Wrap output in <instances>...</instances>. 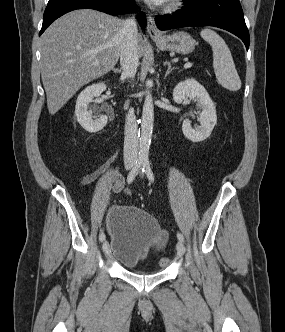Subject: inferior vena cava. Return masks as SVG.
Returning <instances> with one entry per match:
<instances>
[{
	"label": "inferior vena cava",
	"mask_w": 285,
	"mask_h": 332,
	"mask_svg": "<svg viewBox=\"0 0 285 332\" xmlns=\"http://www.w3.org/2000/svg\"><path fill=\"white\" fill-rule=\"evenodd\" d=\"M123 40L121 43L120 64L121 78H134L138 67V30L135 17L124 21ZM138 156L137 122L134 110L130 109L125 122L124 162L133 164Z\"/></svg>",
	"instance_id": "1"
}]
</instances>
